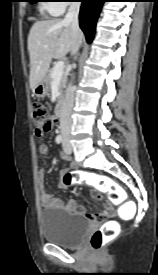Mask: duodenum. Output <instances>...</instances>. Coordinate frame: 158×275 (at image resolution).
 Listing matches in <instances>:
<instances>
[{"label":"duodenum","instance_id":"1","mask_svg":"<svg viewBox=\"0 0 158 275\" xmlns=\"http://www.w3.org/2000/svg\"><path fill=\"white\" fill-rule=\"evenodd\" d=\"M63 110H64V100L63 98H60L58 100V103H57V107H56V116L58 118H61L62 115H63Z\"/></svg>","mask_w":158,"mask_h":275}]
</instances>
